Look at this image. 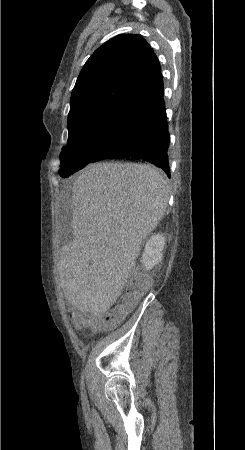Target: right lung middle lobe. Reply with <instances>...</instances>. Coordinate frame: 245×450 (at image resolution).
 Listing matches in <instances>:
<instances>
[{
	"instance_id": "dd1d6c3e",
	"label": "right lung middle lobe",
	"mask_w": 245,
	"mask_h": 450,
	"mask_svg": "<svg viewBox=\"0 0 245 450\" xmlns=\"http://www.w3.org/2000/svg\"><path fill=\"white\" fill-rule=\"evenodd\" d=\"M137 113L120 105L98 104L69 117L67 147L60 155V176L68 177L122 141Z\"/></svg>"
}]
</instances>
